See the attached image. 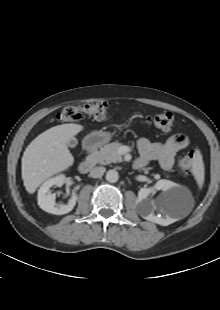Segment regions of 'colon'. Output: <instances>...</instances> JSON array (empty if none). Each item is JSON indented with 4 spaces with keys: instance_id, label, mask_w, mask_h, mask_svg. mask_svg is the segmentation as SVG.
Segmentation results:
<instances>
[{
    "instance_id": "colon-1",
    "label": "colon",
    "mask_w": 220,
    "mask_h": 310,
    "mask_svg": "<svg viewBox=\"0 0 220 310\" xmlns=\"http://www.w3.org/2000/svg\"><path fill=\"white\" fill-rule=\"evenodd\" d=\"M84 116L106 120L109 117V105L104 101H93L80 106H68L59 113L58 119L63 122H75ZM146 123L160 130L169 131L174 126V116L169 112L158 113L149 116ZM195 156V152L190 151L180 158L178 168L182 173L189 174L192 172Z\"/></svg>"
}]
</instances>
